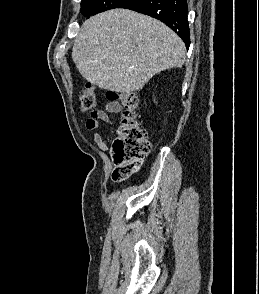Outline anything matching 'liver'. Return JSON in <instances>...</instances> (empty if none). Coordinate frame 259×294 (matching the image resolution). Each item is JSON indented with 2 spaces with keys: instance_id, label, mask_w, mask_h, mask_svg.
Here are the masks:
<instances>
[{
  "instance_id": "obj_1",
  "label": "liver",
  "mask_w": 259,
  "mask_h": 294,
  "mask_svg": "<svg viewBox=\"0 0 259 294\" xmlns=\"http://www.w3.org/2000/svg\"><path fill=\"white\" fill-rule=\"evenodd\" d=\"M72 58L90 83L130 93L140 90L155 74L182 67L186 47L157 19L128 9H114L83 23Z\"/></svg>"
}]
</instances>
